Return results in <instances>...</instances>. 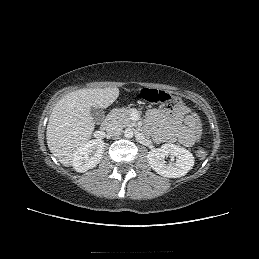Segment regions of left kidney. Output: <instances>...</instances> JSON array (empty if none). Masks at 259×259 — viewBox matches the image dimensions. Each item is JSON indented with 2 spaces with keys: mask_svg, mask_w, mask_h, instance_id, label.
<instances>
[{
  "mask_svg": "<svg viewBox=\"0 0 259 259\" xmlns=\"http://www.w3.org/2000/svg\"><path fill=\"white\" fill-rule=\"evenodd\" d=\"M176 157V161L167 163L165 157ZM150 167L159 175L168 178H179L188 173L194 166V156L187 149L175 144H163L160 148L147 154Z\"/></svg>",
  "mask_w": 259,
  "mask_h": 259,
  "instance_id": "obj_1",
  "label": "left kidney"
}]
</instances>
